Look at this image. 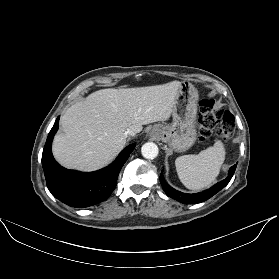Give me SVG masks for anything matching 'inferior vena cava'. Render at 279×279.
Wrapping results in <instances>:
<instances>
[{
	"label": "inferior vena cava",
	"instance_id": "1",
	"mask_svg": "<svg viewBox=\"0 0 279 279\" xmlns=\"http://www.w3.org/2000/svg\"><path fill=\"white\" fill-rule=\"evenodd\" d=\"M136 133L133 130L128 129L126 131V136H134Z\"/></svg>",
	"mask_w": 279,
	"mask_h": 279
}]
</instances>
